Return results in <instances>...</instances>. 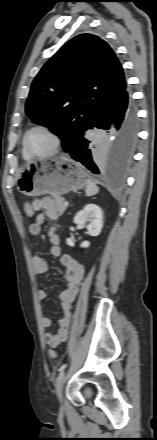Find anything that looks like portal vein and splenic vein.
I'll use <instances>...</instances> for the list:
<instances>
[{"mask_svg":"<svg viewBox=\"0 0 157 440\" xmlns=\"http://www.w3.org/2000/svg\"><path fill=\"white\" fill-rule=\"evenodd\" d=\"M64 205L68 206V202H67V201H64Z\"/></svg>","mask_w":157,"mask_h":440,"instance_id":"obj_1","label":"portal vein and splenic vein"}]
</instances>
